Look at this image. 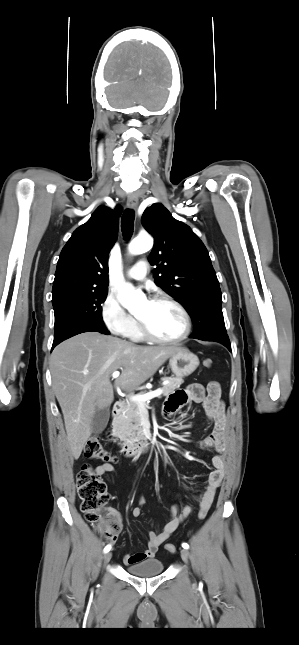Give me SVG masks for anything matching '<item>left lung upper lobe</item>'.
Returning <instances> with one entry per match:
<instances>
[{
    "label": "left lung upper lobe",
    "mask_w": 299,
    "mask_h": 645,
    "mask_svg": "<svg viewBox=\"0 0 299 645\" xmlns=\"http://www.w3.org/2000/svg\"><path fill=\"white\" fill-rule=\"evenodd\" d=\"M142 224L154 237L148 257L159 287L176 298L194 323L193 338L225 332L222 293L208 251L186 224L160 203L148 207Z\"/></svg>",
    "instance_id": "5c2ea615"
}]
</instances>
